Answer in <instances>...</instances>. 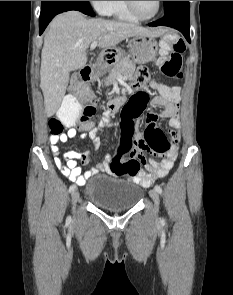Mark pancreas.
Wrapping results in <instances>:
<instances>
[{
	"instance_id": "obj_1",
	"label": "pancreas",
	"mask_w": 233,
	"mask_h": 295,
	"mask_svg": "<svg viewBox=\"0 0 233 295\" xmlns=\"http://www.w3.org/2000/svg\"><path fill=\"white\" fill-rule=\"evenodd\" d=\"M136 69V65L134 62L127 58L120 59L109 71V75L102 80L101 82L109 86L116 78H132Z\"/></svg>"
}]
</instances>
